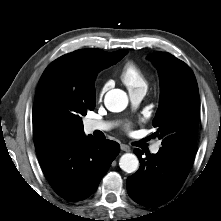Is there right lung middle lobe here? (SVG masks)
Listing matches in <instances>:
<instances>
[{
	"label": "right lung middle lobe",
	"instance_id": "obj_1",
	"mask_svg": "<svg viewBox=\"0 0 221 221\" xmlns=\"http://www.w3.org/2000/svg\"><path fill=\"white\" fill-rule=\"evenodd\" d=\"M98 71L78 73L62 64L51 63L40 78L33 114L41 115L58 126L72 124L83 127L81 116L94 110L95 101L88 102L75 97L72 88L77 83L85 87L93 86Z\"/></svg>",
	"mask_w": 221,
	"mask_h": 221
}]
</instances>
